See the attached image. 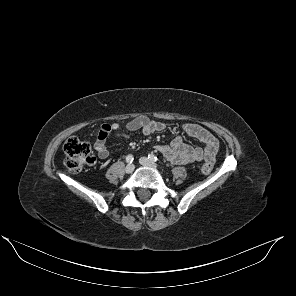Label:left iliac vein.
<instances>
[{
    "label": "left iliac vein",
    "mask_w": 296,
    "mask_h": 296,
    "mask_svg": "<svg viewBox=\"0 0 296 296\" xmlns=\"http://www.w3.org/2000/svg\"><path fill=\"white\" fill-rule=\"evenodd\" d=\"M139 162L143 166L151 167L153 169L157 168L156 164L154 162L150 161L149 159H147L146 157H141L139 159Z\"/></svg>",
    "instance_id": "obj_1"
}]
</instances>
